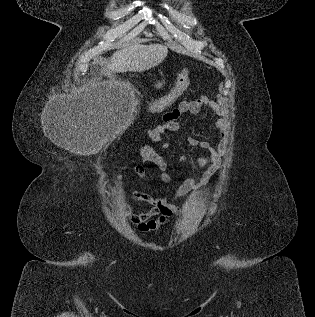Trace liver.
Masks as SVG:
<instances>
[{
	"instance_id": "6515ba94",
	"label": "liver",
	"mask_w": 315,
	"mask_h": 317,
	"mask_svg": "<svg viewBox=\"0 0 315 317\" xmlns=\"http://www.w3.org/2000/svg\"><path fill=\"white\" fill-rule=\"evenodd\" d=\"M168 48L161 44H133L116 51L107 64V74L143 72L158 66L167 56ZM120 104L127 102L128 93L123 92ZM113 108H110L112 110Z\"/></svg>"
}]
</instances>
